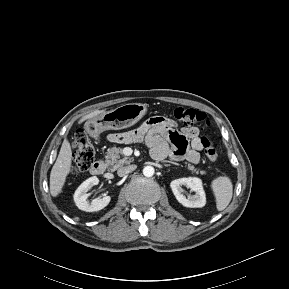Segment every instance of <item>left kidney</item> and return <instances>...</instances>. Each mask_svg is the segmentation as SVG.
Instances as JSON below:
<instances>
[{
	"instance_id": "1",
	"label": "left kidney",
	"mask_w": 289,
	"mask_h": 289,
	"mask_svg": "<svg viewBox=\"0 0 289 289\" xmlns=\"http://www.w3.org/2000/svg\"><path fill=\"white\" fill-rule=\"evenodd\" d=\"M174 196L185 207L190 208H202L206 204V196L203 190L202 181L196 177L180 178L173 180L170 184ZM182 186H186L191 191L195 192L194 196L184 195V189Z\"/></svg>"
}]
</instances>
